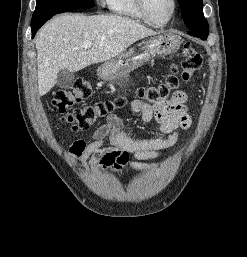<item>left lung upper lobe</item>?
Listing matches in <instances>:
<instances>
[{
  "label": "left lung upper lobe",
  "instance_id": "obj_1",
  "mask_svg": "<svg viewBox=\"0 0 247 257\" xmlns=\"http://www.w3.org/2000/svg\"><path fill=\"white\" fill-rule=\"evenodd\" d=\"M184 23L190 31L209 33V26L203 15L202 0H179Z\"/></svg>",
  "mask_w": 247,
  "mask_h": 257
}]
</instances>
